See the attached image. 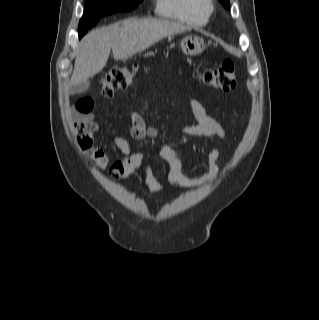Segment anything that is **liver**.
Here are the masks:
<instances>
[{"instance_id":"1","label":"liver","mask_w":319,"mask_h":320,"mask_svg":"<svg viewBox=\"0 0 319 320\" xmlns=\"http://www.w3.org/2000/svg\"><path fill=\"white\" fill-rule=\"evenodd\" d=\"M188 29L182 24L168 20L136 18L95 29L81 41L70 85L82 83L102 71L111 50L115 60L126 59L169 35L182 33Z\"/></svg>"}]
</instances>
